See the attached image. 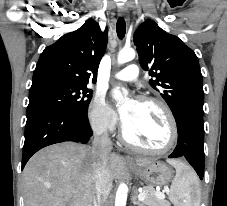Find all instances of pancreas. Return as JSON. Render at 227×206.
<instances>
[{"instance_id":"cf45deb5","label":"pancreas","mask_w":227,"mask_h":206,"mask_svg":"<svg viewBox=\"0 0 227 206\" xmlns=\"http://www.w3.org/2000/svg\"><path fill=\"white\" fill-rule=\"evenodd\" d=\"M143 193H145V199L142 204L147 206H170V204L164 199L158 198L155 193V189L152 186L143 187Z\"/></svg>"}]
</instances>
